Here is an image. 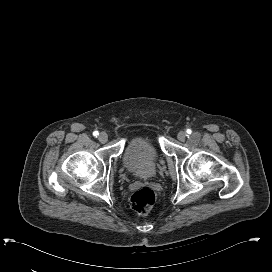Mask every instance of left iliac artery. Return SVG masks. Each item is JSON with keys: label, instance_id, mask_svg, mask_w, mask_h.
<instances>
[{"label": "left iliac artery", "instance_id": "1", "mask_svg": "<svg viewBox=\"0 0 272 272\" xmlns=\"http://www.w3.org/2000/svg\"><path fill=\"white\" fill-rule=\"evenodd\" d=\"M187 134H191L192 133V131H191V129H187Z\"/></svg>", "mask_w": 272, "mask_h": 272}]
</instances>
